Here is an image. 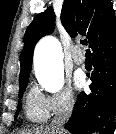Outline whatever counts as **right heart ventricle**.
I'll return each instance as SVG.
<instances>
[{
	"instance_id": "1",
	"label": "right heart ventricle",
	"mask_w": 116,
	"mask_h": 134,
	"mask_svg": "<svg viewBox=\"0 0 116 134\" xmlns=\"http://www.w3.org/2000/svg\"><path fill=\"white\" fill-rule=\"evenodd\" d=\"M25 115L31 122H45L49 117L43 95L36 89H31L25 99Z\"/></svg>"
}]
</instances>
